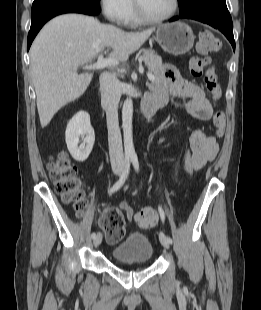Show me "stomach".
Returning <instances> with one entry per match:
<instances>
[{
	"label": "stomach",
	"instance_id": "obj_1",
	"mask_svg": "<svg viewBox=\"0 0 261 310\" xmlns=\"http://www.w3.org/2000/svg\"><path fill=\"white\" fill-rule=\"evenodd\" d=\"M195 36L192 29L183 22H173L158 27L156 41L161 48L172 55H183L191 50Z\"/></svg>",
	"mask_w": 261,
	"mask_h": 310
}]
</instances>
